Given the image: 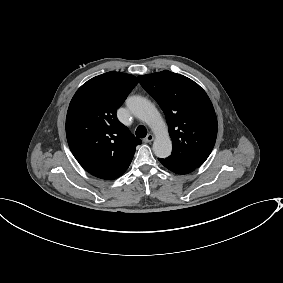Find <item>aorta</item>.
<instances>
[{"instance_id":"aorta-1","label":"aorta","mask_w":283,"mask_h":283,"mask_svg":"<svg viewBox=\"0 0 283 283\" xmlns=\"http://www.w3.org/2000/svg\"><path fill=\"white\" fill-rule=\"evenodd\" d=\"M127 108L137 118L144 121L154 132L153 151L159 158H166L172 152V142L168 127L156 107L146 98L131 96L126 100Z\"/></svg>"}]
</instances>
